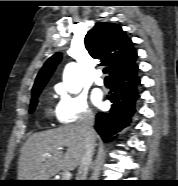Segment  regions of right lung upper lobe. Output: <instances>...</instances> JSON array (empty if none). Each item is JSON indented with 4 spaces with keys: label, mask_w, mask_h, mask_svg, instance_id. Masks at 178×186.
<instances>
[{
    "label": "right lung upper lobe",
    "mask_w": 178,
    "mask_h": 186,
    "mask_svg": "<svg viewBox=\"0 0 178 186\" xmlns=\"http://www.w3.org/2000/svg\"><path fill=\"white\" fill-rule=\"evenodd\" d=\"M84 43L89 54L95 59H100L102 64L108 67L110 74L137 58L133 42L117 24L96 23L94 28L87 32ZM60 61L61 54L56 53L45 62L36 77L32 94L42 90Z\"/></svg>",
    "instance_id": "right-lung-upper-lobe-1"
}]
</instances>
